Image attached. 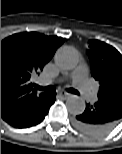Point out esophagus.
I'll use <instances>...</instances> for the list:
<instances>
[{
  "label": "esophagus",
  "instance_id": "esophagus-1",
  "mask_svg": "<svg viewBox=\"0 0 122 154\" xmlns=\"http://www.w3.org/2000/svg\"><path fill=\"white\" fill-rule=\"evenodd\" d=\"M59 95H60L62 98H64V99H66V98H68V97L70 96L69 93L64 92V91L60 92Z\"/></svg>",
  "mask_w": 122,
  "mask_h": 154
}]
</instances>
